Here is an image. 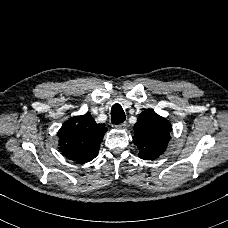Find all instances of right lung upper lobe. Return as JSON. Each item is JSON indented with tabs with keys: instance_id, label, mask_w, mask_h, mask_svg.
Wrapping results in <instances>:
<instances>
[{
	"instance_id": "1",
	"label": "right lung upper lobe",
	"mask_w": 228,
	"mask_h": 228,
	"mask_svg": "<svg viewBox=\"0 0 228 228\" xmlns=\"http://www.w3.org/2000/svg\"><path fill=\"white\" fill-rule=\"evenodd\" d=\"M106 131L107 128L97 124L90 113L72 117L58 131L60 150L77 163L89 162L98 155Z\"/></svg>"
}]
</instances>
